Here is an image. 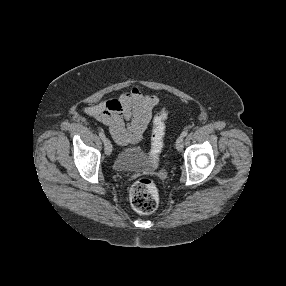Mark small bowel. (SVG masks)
I'll return each mask as SVG.
<instances>
[{"label": "small bowel", "mask_w": 286, "mask_h": 286, "mask_svg": "<svg viewBox=\"0 0 286 286\" xmlns=\"http://www.w3.org/2000/svg\"><path fill=\"white\" fill-rule=\"evenodd\" d=\"M158 103L156 95L132 87L118 97L88 107L86 112L108 127L117 144L126 146L141 140Z\"/></svg>", "instance_id": "c3829d8e"}]
</instances>
